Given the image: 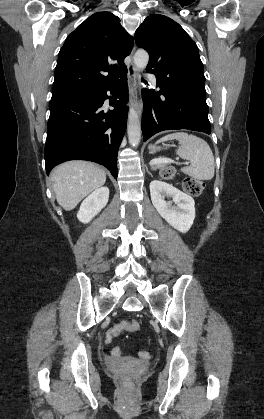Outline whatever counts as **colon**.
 <instances>
[{"mask_svg": "<svg viewBox=\"0 0 264 419\" xmlns=\"http://www.w3.org/2000/svg\"><path fill=\"white\" fill-rule=\"evenodd\" d=\"M175 176V171L171 167H166L161 171V177L164 180H172ZM203 183L192 179L187 178L183 181V189L186 193L190 195H198L203 190ZM139 329V323L136 320H126L119 323V327L117 330H112L105 335V341H112V339L117 335V333H121L123 331H130L135 332ZM150 353L148 351H140L139 357L147 360L150 358Z\"/></svg>", "mask_w": 264, "mask_h": 419, "instance_id": "obj_1", "label": "colon"}]
</instances>
